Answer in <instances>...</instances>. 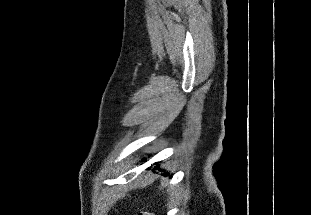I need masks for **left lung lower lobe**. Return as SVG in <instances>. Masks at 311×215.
<instances>
[{
    "instance_id": "obj_1",
    "label": "left lung lower lobe",
    "mask_w": 311,
    "mask_h": 215,
    "mask_svg": "<svg viewBox=\"0 0 311 215\" xmlns=\"http://www.w3.org/2000/svg\"><path fill=\"white\" fill-rule=\"evenodd\" d=\"M155 164H157V163H155ZM156 169L160 170V168H158V167H156ZM166 175H168V174H166Z\"/></svg>"
}]
</instances>
